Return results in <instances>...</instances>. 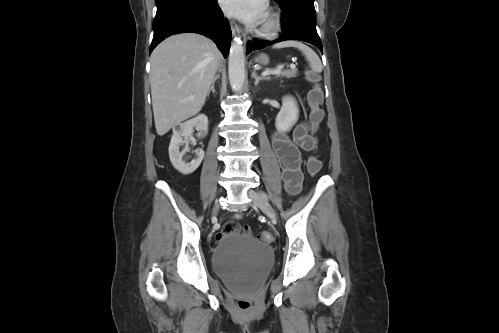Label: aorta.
<instances>
[{"label": "aorta", "mask_w": 499, "mask_h": 333, "mask_svg": "<svg viewBox=\"0 0 499 333\" xmlns=\"http://www.w3.org/2000/svg\"><path fill=\"white\" fill-rule=\"evenodd\" d=\"M229 81L234 92H240L245 81V53L242 42L236 38L231 45L228 60Z\"/></svg>", "instance_id": "obj_1"}]
</instances>
